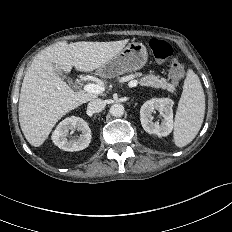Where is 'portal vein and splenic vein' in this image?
I'll return each mask as SVG.
<instances>
[{"instance_id":"18ae733b","label":"portal vein and splenic vein","mask_w":232,"mask_h":232,"mask_svg":"<svg viewBox=\"0 0 232 232\" xmlns=\"http://www.w3.org/2000/svg\"><path fill=\"white\" fill-rule=\"evenodd\" d=\"M138 85L137 80H132L129 82V87H136ZM84 91L91 93V94H100L105 90L104 86L94 84V83H89L84 85Z\"/></svg>"}]
</instances>
